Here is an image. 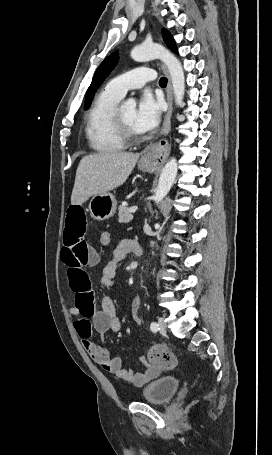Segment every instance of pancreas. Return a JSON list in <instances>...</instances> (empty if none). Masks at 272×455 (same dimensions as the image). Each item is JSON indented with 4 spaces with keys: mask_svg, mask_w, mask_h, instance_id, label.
<instances>
[{
    "mask_svg": "<svg viewBox=\"0 0 272 455\" xmlns=\"http://www.w3.org/2000/svg\"><path fill=\"white\" fill-rule=\"evenodd\" d=\"M133 216L130 213V208L127 206L119 207V222L120 223H129L132 220Z\"/></svg>",
    "mask_w": 272,
    "mask_h": 455,
    "instance_id": "pancreas-1",
    "label": "pancreas"
}]
</instances>
